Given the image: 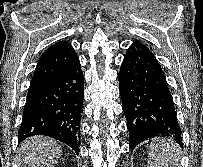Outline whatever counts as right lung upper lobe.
I'll list each match as a JSON object with an SVG mask.
<instances>
[{
  "label": "right lung upper lobe",
  "mask_w": 203,
  "mask_h": 167,
  "mask_svg": "<svg viewBox=\"0 0 203 167\" xmlns=\"http://www.w3.org/2000/svg\"><path fill=\"white\" fill-rule=\"evenodd\" d=\"M77 58L67 41L51 45L39 58L29 90L37 89L67 69Z\"/></svg>",
  "instance_id": "right-lung-upper-lobe-1"
}]
</instances>
